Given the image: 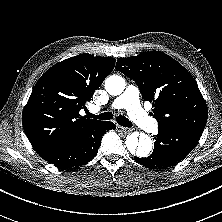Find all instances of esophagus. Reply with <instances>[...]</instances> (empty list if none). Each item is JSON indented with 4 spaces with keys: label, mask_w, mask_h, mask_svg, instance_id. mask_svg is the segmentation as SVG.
<instances>
[{
    "label": "esophagus",
    "mask_w": 222,
    "mask_h": 222,
    "mask_svg": "<svg viewBox=\"0 0 222 222\" xmlns=\"http://www.w3.org/2000/svg\"><path fill=\"white\" fill-rule=\"evenodd\" d=\"M117 130L120 131V132H123L125 134L132 131V129L126 128V127H123V126H120V125H117Z\"/></svg>",
    "instance_id": "obj_1"
}]
</instances>
